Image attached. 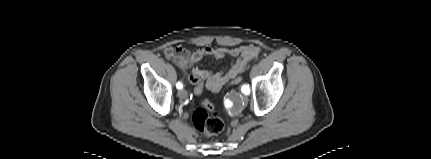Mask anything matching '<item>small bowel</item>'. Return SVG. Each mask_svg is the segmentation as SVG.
<instances>
[{"instance_id": "c3829d8e", "label": "small bowel", "mask_w": 431, "mask_h": 159, "mask_svg": "<svg viewBox=\"0 0 431 159\" xmlns=\"http://www.w3.org/2000/svg\"><path fill=\"white\" fill-rule=\"evenodd\" d=\"M259 53L260 48L255 45L218 48L206 46L194 51L182 47H168L164 51L165 57L175 63L179 68L187 69L192 67L191 75H193V77H201L203 79V89L206 86L212 91H218L224 85L230 83L231 80L238 78L239 74L245 70L248 63L255 59ZM205 56H214L216 59L231 56L235 58V61L227 71L212 73L195 66V64Z\"/></svg>"}]
</instances>
